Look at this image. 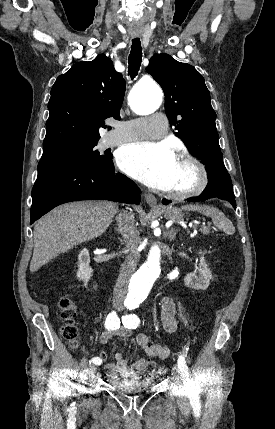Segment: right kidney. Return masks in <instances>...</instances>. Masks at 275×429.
<instances>
[{"mask_svg":"<svg viewBox=\"0 0 275 429\" xmlns=\"http://www.w3.org/2000/svg\"><path fill=\"white\" fill-rule=\"evenodd\" d=\"M90 256L86 248L81 250L78 255V272L77 277L79 280L84 282V286H87L88 281L93 275V269L89 266Z\"/></svg>","mask_w":275,"mask_h":429,"instance_id":"right-kidney-1","label":"right kidney"}]
</instances>
